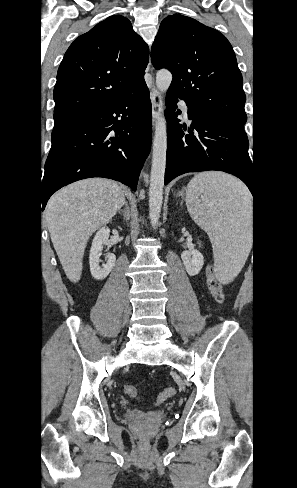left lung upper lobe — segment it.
<instances>
[{
	"instance_id": "left-lung-upper-lobe-1",
	"label": "left lung upper lobe",
	"mask_w": 297,
	"mask_h": 488,
	"mask_svg": "<svg viewBox=\"0 0 297 488\" xmlns=\"http://www.w3.org/2000/svg\"><path fill=\"white\" fill-rule=\"evenodd\" d=\"M156 69L173 75L170 92L198 115L244 131L243 78L230 42L187 16L166 17L151 50Z\"/></svg>"
}]
</instances>
